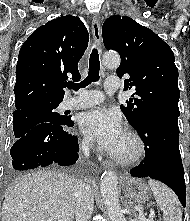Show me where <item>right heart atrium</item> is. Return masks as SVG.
<instances>
[{
    "mask_svg": "<svg viewBox=\"0 0 190 221\" xmlns=\"http://www.w3.org/2000/svg\"><path fill=\"white\" fill-rule=\"evenodd\" d=\"M92 146H93V143H92L91 139H89L88 137H84L81 142V147L84 150H89Z\"/></svg>",
    "mask_w": 190,
    "mask_h": 221,
    "instance_id": "right-heart-atrium-1",
    "label": "right heart atrium"
}]
</instances>
